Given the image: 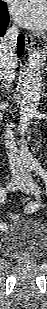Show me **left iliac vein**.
<instances>
[{
    "label": "left iliac vein",
    "mask_w": 47,
    "mask_h": 309,
    "mask_svg": "<svg viewBox=\"0 0 47 309\" xmlns=\"http://www.w3.org/2000/svg\"><path fill=\"white\" fill-rule=\"evenodd\" d=\"M19 189L25 194H31V195L38 194L36 184H34L30 178L25 179Z\"/></svg>",
    "instance_id": "4c4485c4"
}]
</instances>
